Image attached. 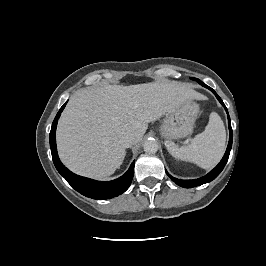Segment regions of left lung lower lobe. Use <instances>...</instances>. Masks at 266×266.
Segmentation results:
<instances>
[{
	"label": "left lung lower lobe",
	"instance_id": "left-lung-lower-lobe-1",
	"mask_svg": "<svg viewBox=\"0 0 266 266\" xmlns=\"http://www.w3.org/2000/svg\"><path fill=\"white\" fill-rule=\"evenodd\" d=\"M197 81L204 87L208 88L209 90H211L214 95L217 97V99L219 100V102L224 106L226 112H227V115H228V124H229V132H230V135H229V143H228V146H227V150L225 152V155L223 156L222 160L220 161V163L212 170L210 171L207 175H205L204 177H201L199 179H194V180H180V179H176L174 177H172L171 175H169L167 173V175L176 183L178 184L179 186L181 187H185V188H192V187H196V186H199V185H202V184H205V183H208L212 180H214L220 173L221 171L223 170L224 166L226 165L227 163V160L229 158V154H230V150H231V147H232V139H233V133H232V128H231V121H230V117H229V114H228V111H227V108L226 106L224 105L223 101L221 100V98L217 95V93L212 89L210 88L209 86L205 85L203 82H201L199 79H197Z\"/></svg>",
	"mask_w": 266,
	"mask_h": 266
}]
</instances>
